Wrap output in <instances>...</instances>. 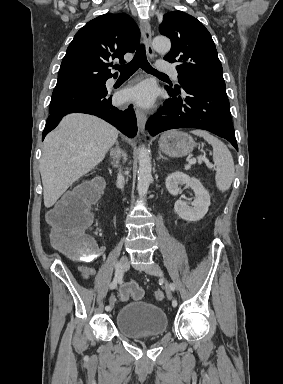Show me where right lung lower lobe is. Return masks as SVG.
<instances>
[{"instance_id":"obj_1","label":"right lung lower lobe","mask_w":283,"mask_h":384,"mask_svg":"<svg viewBox=\"0 0 283 384\" xmlns=\"http://www.w3.org/2000/svg\"><path fill=\"white\" fill-rule=\"evenodd\" d=\"M72 112L87 113L98 116L109 122L128 137H134L137 133V121L132 105L128 109H118L112 106L111 96L102 95L82 100L78 103L50 110L42 139L53 130L61 118Z\"/></svg>"}]
</instances>
